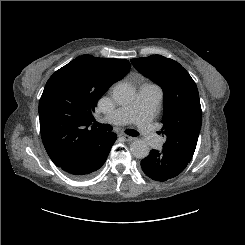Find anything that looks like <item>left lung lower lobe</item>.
<instances>
[{
  "label": "left lung lower lobe",
  "mask_w": 245,
  "mask_h": 245,
  "mask_svg": "<svg viewBox=\"0 0 245 245\" xmlns=\"http://www.w3.org/2000/svg\"><path fill=\"white\" fill-rule=\"evenodd\" d=\"M189 162L176 152L163 147L161 151L151 150L141 161V168L151 179L166 181L179 175Z\"/></svg>",
  "instance_id": "obj_1"
}]
</instances>
